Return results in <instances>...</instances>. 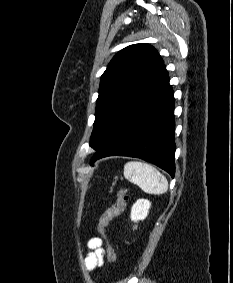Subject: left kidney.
<instances>
[{"label":"left kidney","mask_w":233,"mask_h":283,"mask_svg":"<svg viewBox=\"0 0 233 283\" xmlns=\"http://www.w3.org/2000/svg\"><path fill=\"white\" fill-rule=\"evenodd\" d=\"M151 203L145 199H139L136 203L132 206L131 209V220L137 222L139 220H144L149 212V208Z\"/></svg>","instance_id":"left-kidney-1"}]
</instances>
